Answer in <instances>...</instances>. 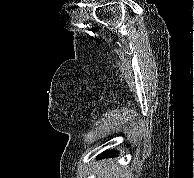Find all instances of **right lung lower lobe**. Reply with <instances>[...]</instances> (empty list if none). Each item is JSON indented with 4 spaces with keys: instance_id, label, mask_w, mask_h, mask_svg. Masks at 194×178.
I'll list each match as a JSON object with an SVG mask.
<instances>
[{
    "instance_id": "right-lung-lower-lobe-1",
    "label": "right lung lower lobe",
    "mask_w": 194,
    "mask_h": 178,
    "mask_svg": "<svg viewBox=\"0 0 194 178\" xmlns=\"http://www.w3.org/2000/svg\"><path fill=\"white\" fill-rule=\"evenodd\" d=\"M115 151H106L103 154H101L99 157H104V156H110L111 154L113 155Z\"/></svg>"
}]
</instances>
